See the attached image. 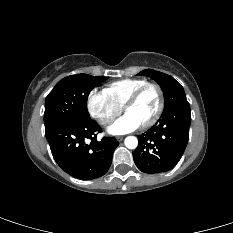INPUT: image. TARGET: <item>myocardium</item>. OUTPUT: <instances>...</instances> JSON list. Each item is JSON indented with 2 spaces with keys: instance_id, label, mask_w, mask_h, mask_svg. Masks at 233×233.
Segmentation results:
<instances>
[{
  "instance_id": "1",
  "label": "myocardium",
  "mask_w": 233,
  "mask_h": 233,
  "mask_svg": "<svg viewBox=\"0 0 233 233\" xmlns=\"http://www.w3.org/2000/svg\"><path fill=\"white\" fill-rule=\"evenodd\" d=\"M149 88H154L157 91L158 98H159V104H158V108H157L156 112L154 113V115L148 121H146L145 123H143L141 125L143 128H147V127L154 125L163 113L165 102H164V93H163V90L160 87V85H158L156 83L147 82L146 84L137 88L127 98V100L125 101V103L122 106L123 111H126L127 108L130 107L132 104H134L140 98V96Z\"/></svg>"
}]
</instances>
